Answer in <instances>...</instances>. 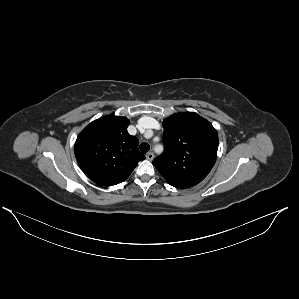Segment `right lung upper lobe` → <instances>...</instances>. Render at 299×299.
<instances>
[{"label":"right lung upper lobe","instance_id":"obj_1","mask_svg":"<svg viewBox=\"0 0 299 299\" xmlns=\"http://www.w3.org/2000/svg\"><path fill=\"white\" fill-rule=\"evenodd\" d=\"M128 125L127 118L109 115L93 121L78 135L74 146L77 162L95 183H121L145 159L138 150V139L127 132Z\"/></svg>","mask_w":299,"mask_h":299}]
</instances>
